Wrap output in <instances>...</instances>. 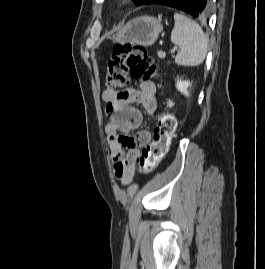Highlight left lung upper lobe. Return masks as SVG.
Wrapping results in <instances>:
<instances>
[{
	"label": "left lung upper lobe",
	"mask_w": 265,
	"mask_h": 269,
	"mask_svg": "<svg viewBox=\"0 0 265 269\" xmlns=\"http://www.w3.org/2000/svg\"><path fill=\"white\" fill-rule=\"evenodd\" d=\"M146 0H135L138 5H142Z\"/></svg>",
	"instance_id": "obj_1"
}]
</instances>
